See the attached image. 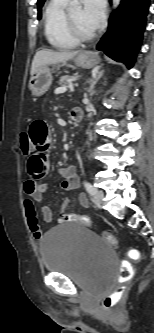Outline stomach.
I'll use <instances>...</instances> for the list:
<instances>
[{
  "instance_id": "1",
  "label": "stomach",
  "mask_w": 154,
  "mask_h": 333,
  "mask_svg": "<svg viewBox=\"0 0 154 333\" xmlns=\"http://www.w3.org/2000/svg\"><path fill=\"white\" fill-rule=\"evenodd\" d=\"M100 59L91 51H82L74 59V63L82 68L90 69L97 65ZM59 68V66H58ZM52 84V69L47 65L36 69L29 80V89L33 96L39 97L45 94Z\"/></svg>"
}]
</instances>
